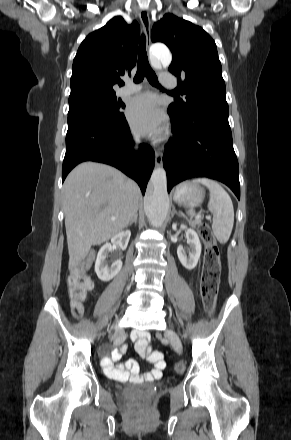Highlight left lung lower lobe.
<instances>
[{"label": "left lung lower lobe", "mask_w": 291, "mask_h": 440, "mask_svg": "<svg viewBox=\"0 0 291 440\" xmlns=\"http://www.w3.org/2000/svg\"><path fill=\"white\" fill-rule=\"evenodd\" d=\"M174 137L164 152L168 192L191 177H208L229 186L240 199L239 167L228 111L195 110L184 118L170 114Z\"/></svg>", "instance_id": "obj_1"}]
</instances>
